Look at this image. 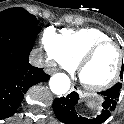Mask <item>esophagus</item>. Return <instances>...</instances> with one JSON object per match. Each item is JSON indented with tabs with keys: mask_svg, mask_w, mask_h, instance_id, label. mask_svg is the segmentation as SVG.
I'll use <instances>...</instances> for the list:
<instances>
[{
	"mask_svg": "<svg viewBox=\"0 0 124 124\" xmlns=\"http://www.w3.org/2000/svg\"><path fill=\"white\" fill-rule=\"evenodd\" d=\"M49 71H50L51 73H54L55 69H54V68H49ZM71 91H76L78 94H81V91L79 90V88H77V87L74 86V85L72 86Z\"/></svg>",
	"mask_w": 124,
	"mask_h": 124,
	"instance_id": "1",
	"label": "esophagus"
}]
</instances>
